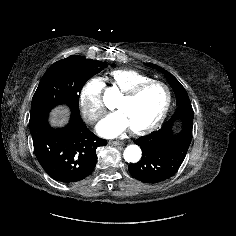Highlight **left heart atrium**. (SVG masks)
<instances>
[{
  "label": "left heart atrium",
  "mask_w": 236,
  "mask_h": 236,
  "mask_svg": "<svg viewBox=\"0 0 236 236\" xmlns=\"http://www.w3.org/2000/svg\"><path fill=\"white\" fill-rule=\"evenodd\" d=\"M130 128L126 116L121 111L107 115L97 126V133L106 138H114Z\"/></svg>",
  "instance_id": "39dd6f15"
}]
</instances>
